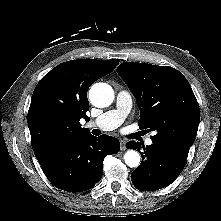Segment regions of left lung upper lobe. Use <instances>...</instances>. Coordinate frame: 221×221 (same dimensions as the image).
Here are the masks:
<instances>
[{"instance_id": "left-lung-upper-lobe-1", "label": "left lung upper lobe", "mask_w": 221, "mask_h": 221, "mask_svg": "<svg viewBox=\"0 0 221 221\" xmlns=\"http://www.w3.org/2000/svg\"><path fill=\"white\" fill-rule=\"evenodd\" d=\"M117 73L140 107L139 126L156 131L152 142L187 157L200 121L197 100L187 79L167 66L123 62Z\"/></svg>"}]
</instances>
